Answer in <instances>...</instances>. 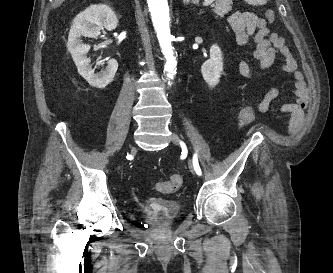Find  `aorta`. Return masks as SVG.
<instances>
[{"mask_svg": "<svg viewBox=\"0 0 333 273\" xmlns=\"http://www.w3.org/2000/svg\"><path fill=\"white\" fill-rule=\"evenodd\" d=\"M147 3L162 53L166 59L164 70L167 73V77L173 79L176 73L177 61L174 56V48L172 47L168 1L147 0Z\"/></svg>", "mask_w": 333, "mask_h": 273, "instance_id": "1", "label": "aorta"}]
</instances>
